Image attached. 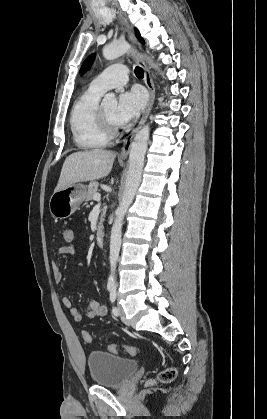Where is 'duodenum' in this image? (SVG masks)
<instances>
[{
  "label": "duodenum",
  "instance_id": "1",
  "mask_svg": "<svg viewBox=\"0 0 267 419\" xmlns=\"http://www.w3.org/2000/svg\"><path fill=\"white\" fill-rule=\"evenodd\" d=\"M96 243L99 247H103L105 244V234L102 231H99L96 235Z\"/></svg>",
  "mask_w": 267,
  "mask_h": 419
}]
</instances>
